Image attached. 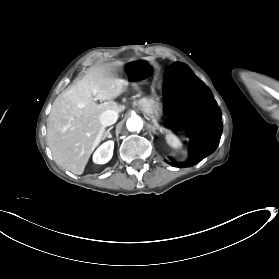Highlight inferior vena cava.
Returning <instances> with one entry per match:
<instances>
[{
	"label": "inferior vena cava",
	"mask_w": 279,
	"mask_h": 279,
	"mask_svg": "<svg viewBox=\"0 0 279 279\" xmlns=\"http://www.w3.org/2000/svg\"><path fill=\"white\" fill-rule=\"evenodd\" d=\"M118 114L114 110H107L103 112L100 116L101 124L106 126H110L111 124H114L116 120L118 119ZM102 127V129L104 128Z\"/></svg>",
	"instance_id": "obj_1"
}]
</instances>
